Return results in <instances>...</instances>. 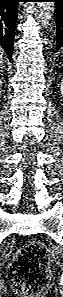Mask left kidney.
Wrapping results in <instances>:
<instances>
[{
    "instance_id": "left-kidney-1",
    "label": "left kidney",
    "mask_w": 63,
    "mask_h": 297,
    "mask_svg": "<svg viewBox=\"0 0 63 297\" xmlns=\"http://www.w3.org/2000/svg\"><path fill=\"white\" fill-rule=\"evenodd\" d=\"M60 85H61V92L63 93V82H61Z\"/></svg>"
}]
</instances>
